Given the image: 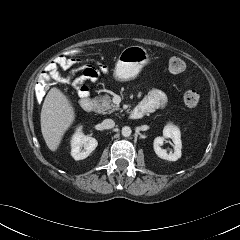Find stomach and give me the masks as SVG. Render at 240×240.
<instances>
[{
    "instance_id": "0dacf381",
    "label": "stomach",
    "mask_w": 240,
    "mask_h": 240,
    "mask_svg": "<svg viewBox=\"0 0 240 240\" xmlns=\"http://www.w3.org/2000/svg\"><path fill=\"white\" fill-rule=\"evenodd\" d=\"M149 63H151V58L146 49L141 46H129L119 55L114 77L119 81L134 79Z\"/></svg>"
}]
</instances>
